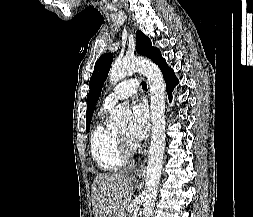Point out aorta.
<instances>
[{"label": "aorta", "mask_w": 253, "mask_h": 217, "mask_svg": "<svg viewBox=\"0 0 253 217\" xmlns=\"http://www.w3.org/2000/svg\"><path fill=\"white\" fill-rule=\"evenodd\" d=\"M141 72L149 83L151 97L152 136L145 175L143 217H150L158 194L166 140L165 83L159 67L147 59L124 58L110 69L109 79L116 83L135 72ZM128 108L118 105L110 113L112 122L125 126L130 118Z\"/></svg>", "instance_id": "aorta-1"}]
</instances>
